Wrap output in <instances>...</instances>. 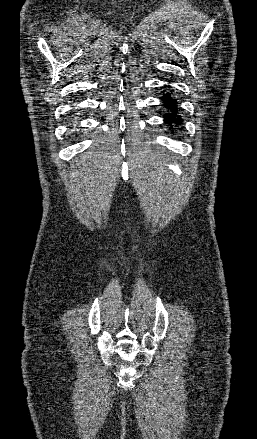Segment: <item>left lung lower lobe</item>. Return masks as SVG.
Masks as SVG:
<instances>
[{"label": "left lung lower lobe", "instance_id": "1", "mask_svg": "<svg viewBox=\"0 0 257 439\" xmlns=\"http://www.w3.org/2000/svg\"><path fill=\"white\" fill-rule=\"evenodd\" d=\"M164 102L167 109L171 111V113H167L164 115L165 123L170 124V128L172 131L179 129V126L182 124V118L178 115V107L177 100L174 99L170 93H166L161 98Z\"/></svg>", "mask_w": 257, "mask_h": 439}]
</instances>
